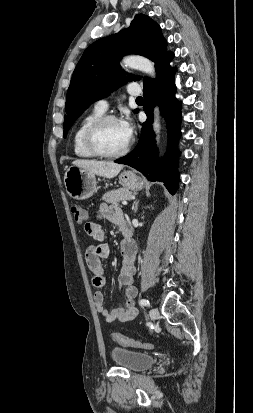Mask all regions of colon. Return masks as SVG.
<instances>
[{
    "mask_svg": "<svg viewBox=\"0 0 253 413\" xmlns=\"http://www.w3.org/2000/svg\"><path fill=\"white\" fill-rule=\"evenodd\" d=\"M70 211L77 223H83L86 220V213L81 205L77 203L71 204ZM111 337L115 342L119 343L122 346H126V347H135V348H142V349H148V350L157 348V346L154 344L141 342V341L126 337L120 333H112Z\"/></svg>",
    "mask_w": 253,
    "mask_h": 413,
    "instance_id": "obj_1",
    "label": "colon"
}]
</instances>
